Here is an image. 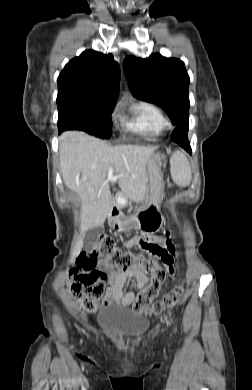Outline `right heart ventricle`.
<instances>
[{
  "label": "right heart ventricle",
  "mask_w": 252,
  "mask_h": 390,
  "mask_svg": "<svg viewBox=\"0 0 252 390\" xmlns=\"http://www.w3.org/2000/svg\"><path fill=\"white\" fill-rule=\"evenodd\" d=\"M167 126L168 121L162 110L148 102H139L131 106L130 118L126 122L129 130L148 136L162 135Z\"/></svg>",
  "instance_id": "obj_1"
}]
</instances>
